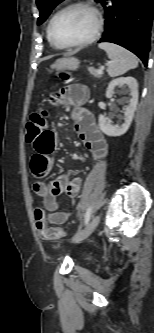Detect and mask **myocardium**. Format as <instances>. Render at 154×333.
Masks as SVG:
<instances>
[{
	"instance_id": "f54148a6",
	"label": "myocardium",
	"mask_w": 154,
	"mask_h": 333,
	"mask_svg": "<svg viewBox=\"0 0 154 333\" xmlns=\"http://www.w3.org/2000/svg\"><path fill=\"white\" fill-rule=\"evenodd\" d=\"M73 8H84V9L89 10L92 13V15L94 17V21H95L94 30H93V33L91 34V36L88 37L87 39H84L82 41H79V42H76L73 44H61L57 41V39L54 36L53 25H54L56 19L61 14H63L67 10H70ZM102 28H103V21H102V16H101V13L99 12V10L91 3L77 1V2H72V3L65 5L52 16V18L50 19L49 24H48V35L50 37L51 42L54 44L55 47H57L59 49H74V48L84 47V46H87V45L95 42L99 38V36L102 32Z\"/></svg>"
}]
</instances>
